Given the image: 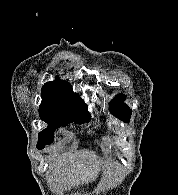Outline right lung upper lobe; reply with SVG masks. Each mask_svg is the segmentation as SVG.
Returning <instances> with one entry per match:
<instances>
[{"mask_svg": "<svg viewBox=\"0 0 178 195\" xmlns=\"http://www.w3.org/2000/svg\"><path fill=\"white\" fill-rule=\"evenodd\" d=\"M41 105L80 106L85 105L78 94L73 92L71 85L56 77L55 81L47 82L41 90Z\"/></svg>", "mask_w": 178, "mask_h": 195, "instance_id": "cb5924a9", "label": "right lung upper lobe"}]
</instances>
